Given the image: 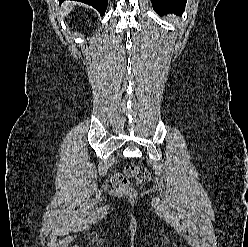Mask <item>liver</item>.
<instances>
[{
    "label": "liver",
    "mask_w": 248,
    "mask_h": 247,
    "mask_svg": "<svg viewBox=\"0 0 248 247\" xmlns=\"http://www.w3.org/2000/svg\"><path fill=\"white\" fill-rule=\"evenodd\" d=\"M73 8V5L70 3H67L66 5L63 6V9L65 11L66 14H68Z\"/></svg>",
    "instance_id": "6515ba94"
}]
</instances>
